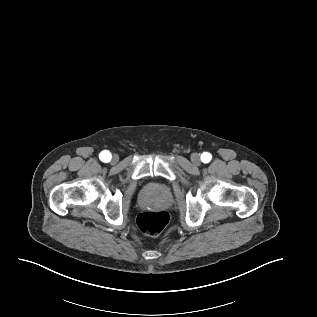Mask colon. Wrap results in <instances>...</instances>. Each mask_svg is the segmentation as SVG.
Returning <instances> with one entry per match:
<instances>
[{"label": "colon", "mask_w": 317, "mask_h": 317, "mask_svg": "<svg viewBox=\"0 0 317 317\" xmlns=\"http://www.w3.org/2000/svg\"><path fill=\"white\" fill-rule=\"evenodd\" d=\"M169 222L168 213L165 211H145L138 215L137 225L146 235L157 236Z\"/></svg>", "instance_id": "colon-1"}]
</instances>
